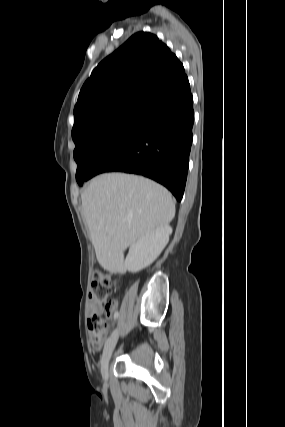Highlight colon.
<instances>
[{
  "mask_svg": "<svg viewBox=\"0 0 285 427\" xmlns=\"http://www.w3.org/2000/svg\"><path fill=\"white\" fill-rule=\"evenodd\" d=\"M113 291V282L111 278L96 271L89 288V298L93 301L103 303ZM88 328L91 336L92 344L95 347H100L104 342L109 330L108 323L99 315H92L88 320Z\"/></svg>",
  "mask_w": 285,
  "mask_h": 427,
  "instance_id": "5ec220e1",
  "label": "colon"
}]
</instances>
